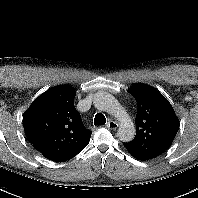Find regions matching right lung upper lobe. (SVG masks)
Masks as SVG:
<instances>
[{
  "label": "right lung upper lobe",
  "mask_w": 198,
  "mask_h": 198,
  "mask_svg": "<svg viewBox=\"0 0 198 198\" xmlns=\"http://www.w3.org/2000/svg\"><path fill=\"white\" fill-rule=\"evenodd\" d=\"M76 92L68 85L41 94L23 116L25 134L43 155H56L86 146L92 132L85 129L74 106Z\"/></svg>",
  "instance_id": "1"
}]
</instances>
